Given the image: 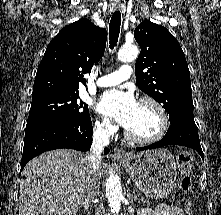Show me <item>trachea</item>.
<instances>
[{
    "mask_svg": "<svg viewBox=\"0 0 221 215\" xmlns=\"http://www.w3.org/2000/svg\"><path fill=\"white\" fill-rule=\"evenodd\" d=\"M121 26V13L120 11H116L113 13L110 24H109V32H110V48L113 49L117 42L120 33Z\"/></svg>",
    "mask_w": 221,
    "mask_h": 215,
    "instance_id": "obj_1",
    "label": "trachea"
}]
</instances>
